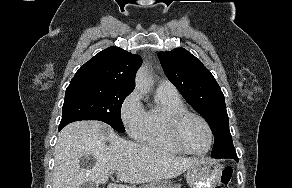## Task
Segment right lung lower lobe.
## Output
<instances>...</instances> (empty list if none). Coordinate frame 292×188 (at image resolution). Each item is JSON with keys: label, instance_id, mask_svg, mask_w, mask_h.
Segmentation results:
<instances>
[{"label": "right lung lower lobe", "instance_id": "98d812e1", "mask_svg": "<svg viewBox=\"0 0 292 188\" xmlns=\"http://www.w3.org/2000/svg\"><path fill=\"white\" fill-rule=\"evenodd\" d=\"M63 127H64V126H60V125H59V130H61Z\"/></svg>", "mask_w": 292, "mask_h": 188}]
</instances>
